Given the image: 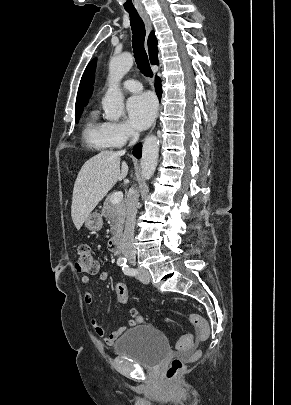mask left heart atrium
Masks as SVG:
<instances>
[{
	"label": "left heart atrium",
	"instance_id": "obj_1",
	"mask_svg": "<svg viewBox=\"0 0 291 405\" xmlns=\"http://www.w3.org/2000/svg\"><path fill=\"white\" fill-rule=\"evenodd\" d=\"M127 113L129 122L135 129H145L155 117V99L148 93L135 95L127 102Z\"/></svg>",
	"mask_w": 291,
	"mask_h": 405
}]
</instances>
